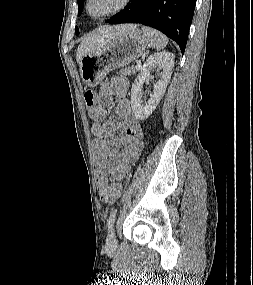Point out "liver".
<instances>
[{"label":"liver","mask_w":253,"mask_h":285,"mask_svg":"<svg viewBox=\"0 0 253 285\" xmlns=\"http://www.w3.org/2000/svg\"><path fill=\"white\" fill-rule=\"evenodd\" d=\"M134 28H136V26L132 24L119 25L115 27L107 26L87 34L78 46L76 52L77 63L80 64L84 55L108 44L115 37L131 31Z\"/></svg>","instance_id":"obj_1"}]
</instances>
